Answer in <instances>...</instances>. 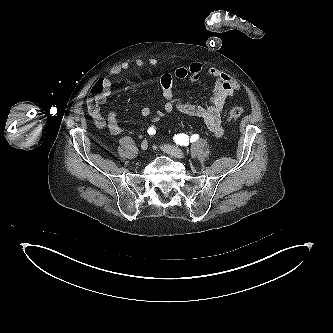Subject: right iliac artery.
<instances>
[{
    "mask_svg": "<svg viewBox=\"0 0 333 333\" xmlns=\"http://www.w3.org/2000/svg\"><path fill=\"white\" fill-rule=\"evenodd\" d=\"M148 134L149 135H154L156 133V129L154 127H150L148 130H147Z\"/></svg>",
    "mask_w": 333,
    "mask_h": 333,
    "instance_id": "1",
    "label": "right iliac artery"
}]
</instances>
